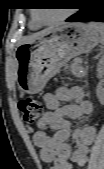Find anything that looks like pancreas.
Instances as JSON below:
<instances>
[{"mask_svg":"<svg viewBox=\"0 0 104 169\" xmlns=\"http://www.w3.org/2000/svg\"><path fill=\"white\" fill-rule=\"evenodd\" d=\"M80 63H81V60L76 59L70 65V70L72 74L76 77H82L87 73L86 69L83 66H81Z\"/></svg>","mask_w":104,"mask_h":169,"instance_id":"pancreas-1","label":"pancreas"}]
</instances>
